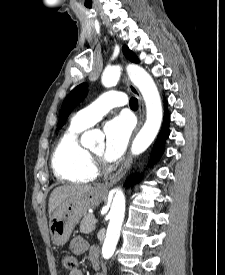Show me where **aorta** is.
<instances>
[{"instance_id":"1","label":"aorta","mask_w":225,"mask_h":275,"mask_svg":"<svg viewBox=\"0 0 225 275\" xmlns=\"http://www.w3.org/2000/svg\"><path fill=\"white\" fill-rule=\"evenodd\" d=\"M129 79L140 90L146 105V121L135 137L131 152L133 155L143 153L154 141L162 123V103L152 77L140 66L130 64L126 68ZM121 74L119 66L107 68L102 75V84L105 87H112L117 84ZM83 146H90L94 141L92 132H85L82 136ZM110 212L108 214L109 224L106 238L102 247V255L109 259L115 251L119 240L120 231L125 214V196L121 189L114 190Z\"/></svg>"}]
</instances>
